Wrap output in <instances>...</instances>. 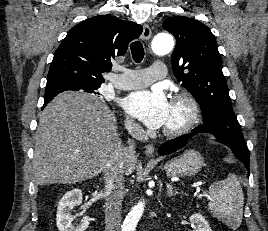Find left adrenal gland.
<instances>
[{"instance_id": "a2214340", "label": "left adrenal gland", "mask_w": 268, "mask_h": 231, "mask_svg": "<svg viewBox=\"0 0 268 231\" xmlns=\"http://www.w3.org/2000/svg\"><path fill=\"white\" fill-rule=\"evenodd\" d=\"M166 188L168 197L175 196L178 194V192L173 189V186L171 184H166Z\"/></svg>"}]
</instances>
